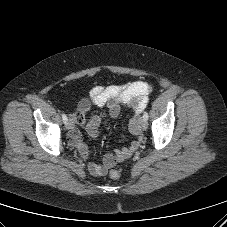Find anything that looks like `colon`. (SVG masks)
Here are the masks:
<instances>
[{"label":"colon","instance_id":"colon-1","mask_svg":"<svg viewBox=\"0 0 227 227\" xmlns=\"http://www.w3.org/2000/svg\"><path fill=\"white\" fill-rule=\"evenodd\" d=\"M109 176H110L111 179L117 180V179L120 178L121 173H120V171L113 169V170L110 171Z\"/></svg>","mask_w":227,"mask_h":227}]
</instances>
